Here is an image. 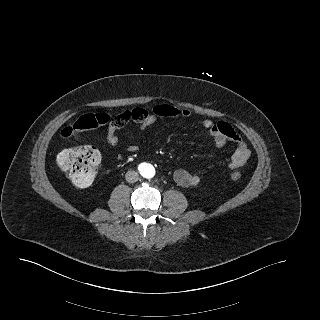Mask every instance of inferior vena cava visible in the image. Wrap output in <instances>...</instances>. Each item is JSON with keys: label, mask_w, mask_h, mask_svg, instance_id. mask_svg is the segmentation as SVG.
Returning a JSON list of instances; mask_svg holds the SVG:
<instances>
[{"label": "inferior vena cava", "mask_w": 320, "mask_h": 320, "mask_svg": "<svg viewBox=\"0 0 320 320\" xmlns=\"http://www.w3.org/2000/svg\"><path fill=\"white\" fill-rule=\"evenodd\" d=\"M125 179L129 183H134V182L138 181L139 175L136 171H133V170L127 171V173L125 175Z\"/></svg>", "instance_id": "obj_1"}]
</instances>
